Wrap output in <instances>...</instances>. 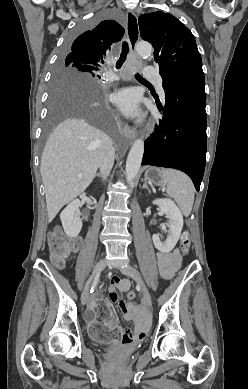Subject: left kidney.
Returning a JSON list of instances; mask_svg holds the SVG:
<instances>
[{"mask_svg": "<svg viewBox=\"0 0 248 389\" xmlns=\"http://www.w3.org/2000/svg\"><path fill=\"white\" fill-rule=\"evenodd\" d=\"M153 204L158 205L160 211L169 218L166 241H161L158 234H153V243L159 251L169 253L179 240L183 228V216L176 204L170 199H156Z\"/></svg>", "mask_w": 248, "mask_h": 389, "instance_id": "obj_1", "label": "left kidney"}]
</instances>
